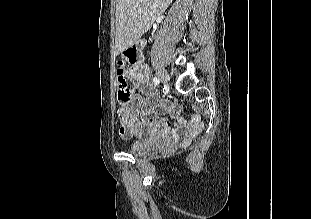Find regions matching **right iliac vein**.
<instances>
[{
    "mask_svg": "<svg viewBox=\"0 0 311 219\" xmlns=\"http://www.w3.org/2000/svg\"><path fill=\"white\" fill-rule=\"evenodd\" d=\"M159 78L163 84H166L168 82L169 77L165 69L163 68L159 69Z\"/></svg>",
    "mask_w": 311,
    "mask_h": 219,
    "instance_id": "1",
    "label": "right iliac vein"
}]
</instances>
